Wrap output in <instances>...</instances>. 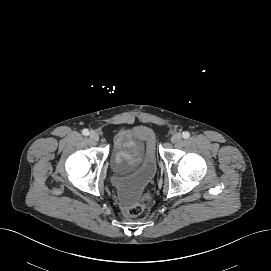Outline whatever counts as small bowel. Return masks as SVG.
<instances>
[{"instance_id": "1", "label": "small bowel", "mask_w": 271, "mask_h": 271, "mask_svg": "<svg viewBox=\"0 0 271 271\" xmlns=\"http://www.w3.org/2000/svg\"><path fill=\"white\" fill-rule=\"evenodd\" d=\"M143 146L129 130H121L114 140V163L122 167L125 162L136 165L142 159Z\"/></svg>"}]
</instances>
